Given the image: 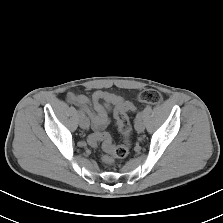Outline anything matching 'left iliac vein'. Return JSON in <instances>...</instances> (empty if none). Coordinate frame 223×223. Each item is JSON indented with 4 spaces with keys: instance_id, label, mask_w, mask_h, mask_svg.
I'll return each mask as SVG.
<instances>
[{
    "instance_id": "left-iliac-vein-1",
    "label": "left iliac vein",
    "mask_w": 223,
    "mask_h": 223,
    "mask_svg": "<svg viewBox=\"0 0 223 223\" xmlns=\"http://www.w3.org/2000/svg\"><path fill=\"white\" fill-rule=\"evenodd\" d=\"M135 129L138 133H141L144 131V123L141 119H136L135 120Z\"/></svg>"
}]
</instances>
